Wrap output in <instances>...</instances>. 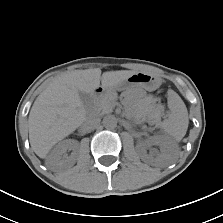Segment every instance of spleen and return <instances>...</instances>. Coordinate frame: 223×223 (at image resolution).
I'll return each mask as SVG.
<instances>
[{"label":"spleen","instance_id":"3e777b00","mask_svg":"<svg viewBox=\"0 0 223 223\" xmlns=\"http://www.w3.org/2000/svg\"><path fill=\"white\" fill-rule=\"evenodd\" d=\"M168 105L171 110L170 132L177 139H181L188 128V112L182 99L173 91L170 92Z\"/></svg>","mask_w":223,"mask_h":223}]
</instances>
